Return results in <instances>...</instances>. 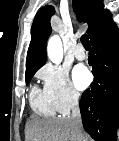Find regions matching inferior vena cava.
<instances>
[{
  "label": "inferior vena cava",
  "mask_w": 119,
  "mask_h": 141,
  "mask_svg": "<svg viewBox=\"0 0 119 141\" xmlns=\"http://www.w3.org/2000/svg\"><path fill=\"white\" fill-rule=\"evenodd\" d=\"M70 106L72 110L70 120L74 124L77 134L81 136L83 127H82L80 107L78 102V94L76 92H71L70 94Z\"/></svg>",
  "instance_id": "1"
}]
</instances>
